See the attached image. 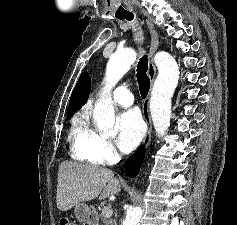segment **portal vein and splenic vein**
Segmentation results:
<instances>
[{
	"instance_id": "1",
	"label": "portal vein and splenic vein",
	"mask_w": 237,
	"mask_h": 225,
	"mask_svg": "<svg viewBox=\"0 0 237 225\" xmlns=\"http://www.w3.org/2000/svg\"><path fill=\"white\" fill-rule=\"evenodd\" d=\"M102 213H103V215H104L105 217L109 218V217L112 216L113 211H112L111 207L107 206V207H104V208L102 209Z\"/></svg>"
}]
</instances>
